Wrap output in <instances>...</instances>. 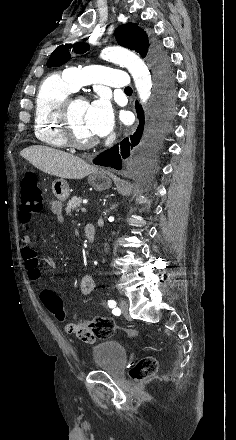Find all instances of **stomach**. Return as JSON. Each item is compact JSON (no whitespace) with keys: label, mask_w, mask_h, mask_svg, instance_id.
<instances>
[{"label":"stomach","mask_w":236,"mask_h":440,"mask_svg":"<svg viewBox=\"0 0 236 440\" xmlns=\"http://www.w3.org/2000/svg\"><path fill=\"white\" fill-rule=\"evenodd\" d=\"M88 183L96 191H104L110 188L111 180L107 172L103 169H95L89 174ZM52 192L61 202L69 197V185L64 179H56L52 182Z\"/></svg>","instance_id":"stomach-1"}]
</instances>
